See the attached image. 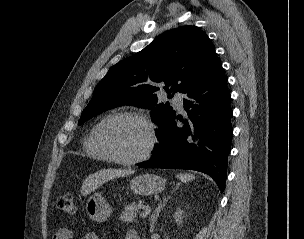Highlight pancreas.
<instances>
[{
	"mask_svg": "<svg viewBox=\"0 0 304 239\" xmlns=\"http://www.w3.org/2000/svg\"><path fill=\"white\" fill-rule=\"evenodd\" d=\"M145 207L143 203H131L125 207V209L122 211L120 219L122 222L125 223H133L136 222L137 215L139 213V210Z\"/></svg>",
	"mask_w": 304,
	"mask_h": 239,
	"instance_id": "pancreas-1",
	"label": "pancreas"
}]
</instances>
